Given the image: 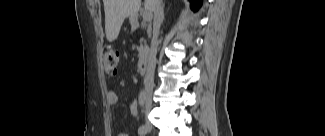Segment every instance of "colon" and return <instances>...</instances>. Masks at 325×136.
<instances>
[{"label": "colon", "instance_id": "colon-1", "mask_svg": "<svg viewBox=\"0 0 325 136\" xmlns=\"http://www.w3.org/2000/svg\"><path fill=\"white\" fill-rule=\"evenodd\" d=\"M104 70L108 74H115L118 69L120 55L112 46H105L102 50Z\"/></svg>", "mask_w": 325, "mask_h": 136}]
</instances>
